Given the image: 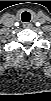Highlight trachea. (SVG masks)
<instances>
[{"mask_svg":"<svg viewBox=\"0 0 51 101\" xmlns=\"http://www.w3.org/2000/svg\"><path fill=\"white\" fill-rule=\"evenodd\" d=\"M21 20L28 23L31 20V14L27 11L23 12L21 15Z\"/></svg>","mask_w":51,"mask_h":101,"instance_id":"1","label":"trachea"}]
</instances>
